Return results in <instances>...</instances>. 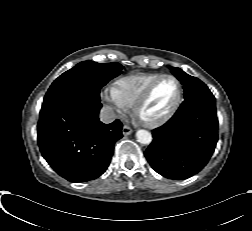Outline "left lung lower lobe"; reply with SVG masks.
Wrapping results in <instances>:
<instances>
[{"label":"left lung lower lobe","instance_id":"obj_1","mask_svg":"<svg viewBox=\"0 0 252 231\" xmlns=\"http://www.w3.org/2000/svg\"><path fill=\"white\" fill-rule=\"evenodd\" d=\"M212 94L186 98L173 117L153 130L144 155L152 168L170 179H187L210 159L218 140Z\"/></svg>","mask_w":252,"mask_h":231}]
</instances>
